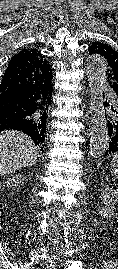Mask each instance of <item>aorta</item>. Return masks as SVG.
Segmentation results:
<instances>
[{
    "label": "aorta",
    "instance_id": "1",
    "mask_svg": "<svg viewBox=\"0 0 118 269\" xmlns=\"http://www.w3.org/2000/svg\"><path fill=\"white\" fill-rule=\"evenodd\" d=\"M86 72L90 83L92 98L90 126V157L99 159L103 156L108 144V131L102 104V90L106 82V63L100 56L87 59Z\"/></svg>",
    "mask_w": 118,
    "mask_h": 269
}]
</instances>
